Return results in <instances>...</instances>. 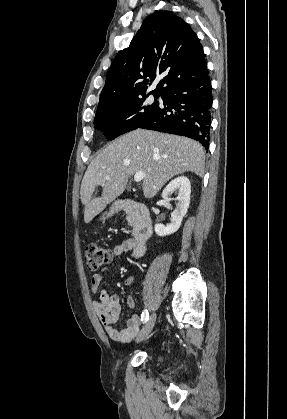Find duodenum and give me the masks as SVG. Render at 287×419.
<instances>
[{
  "mask_svg": "<svg viewBox=\"0 0 287 419\" xmlns=\"http://www.w3.org/2000/svg\"><path fill=\"white\" fill-rule=\"evenodd\" d=\"M117 204L120 210L130 214L133 219V235L136 242L134 254L136 257H140L144 252L145 243L150 239L153 231L150 212L146 205L134 200H119Z\"/></svg>",
  "mask_w": 287,
  "mask_h": 419,
  "instance_id": "duodenum-1",
  "label": "duodenum"
}]
</instances>
